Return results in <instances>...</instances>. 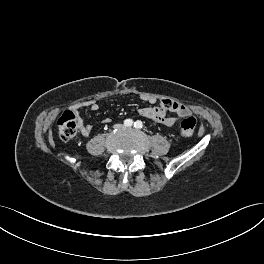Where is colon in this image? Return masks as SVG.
I'll use <instances>...</instances> for the list:
<instances>
[{
	"instance_id": "1",
	"label": "colon",
	"mask_w": 264,
	"mask_h": 264,
	"mask_svg": "<svg viewBox=\"0 0 264 264\" xmlns=\"http://www.w3.org/2000/svg\"><path fill=\"white\" fill-rule=\"evenodd\" d=\"M59 136L63 141L73 139L77 133L78 120L72 111H65L57 122ZM196 119L192 116L183 118L179 124V130L182 136L189 137L194 133Z\"/></svg>"
}]
</instances>
